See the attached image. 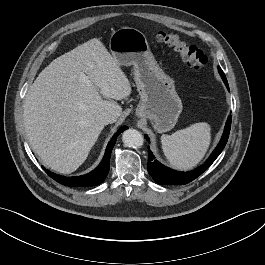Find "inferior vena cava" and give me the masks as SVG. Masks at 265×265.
<instances>
[{
    "label": "inferior vena cava",
    "instance_id": "1",
    "mask_svg": "<svg viewBox=\"0 0 265 265\" xmlns=\"http://www.w3.org/2000/svg\"><path fill=\"white\" fill-rule=\"evenodd\" d=\"M115 116L111 115L108 112H103L97 116V121L101 124L107 125L109 123L115 122Z\"/></svg>",
    "mask_w": 265,
    "mask_h": 265
}]
</instances>
